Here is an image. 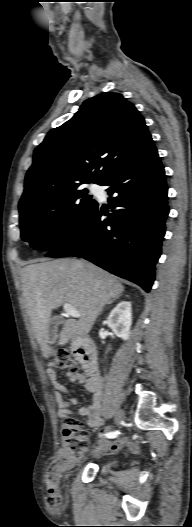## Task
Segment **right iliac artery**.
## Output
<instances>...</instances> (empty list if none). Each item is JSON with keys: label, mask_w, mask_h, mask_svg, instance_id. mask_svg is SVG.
<instances>
[{"label": "right iliac artery", "mask_w": 192, "mask_h": 527, "mask_svg": "<svg viewBox=\"0 0 192 527\" xmlns=\"http://www.w3.org/2000/svg\"><path fill=\"white\" fill-rule=\"evenodd\" d=\"M120 432L119 431H113V432H108L106 434H104L107 438H115L118 436Z\"/></svg>", "instance_id": "right-iliac-artery-1"}]
</instances>
